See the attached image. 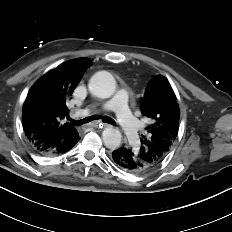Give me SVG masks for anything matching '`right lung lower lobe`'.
Returning <instances> with one entry per match:
<instances>
[{
    "label": "right lung lower lobe",
    "instance_id": "right-lung-lower-lobe-1",
    "mask_svg": "<svg viewBox=\"0 0 232 232\" xmlns=\"http://www.w3.org/2000/svg\"><path fill=\"white\" fill-rule=\"evenodd\" d=\"M78 142V141H77ZM76 142V143H77ZM76 143H73V145L72 146H70L69 148H68V150L67 151H69ZM66 151V152H67ZM40 154H43V155H53V154H51V153H40Z\"/></svg>",
    "mask_w": 232,
    "mask_h": 232
}]
</instances>
